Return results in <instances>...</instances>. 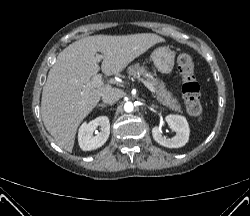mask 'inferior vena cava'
<instances>
[{"label":"inferior vena cava","instance_id":"1","mask_svg":"<svg viewBox=\"0 0 250 216\" xmlns=\"http://www.w3.org/2000/svg\"><path fill=\"white\" fill-rule=\"evenodd\" d=\"M123 91L118 88H109L102 94L104 103L111 104L123 97Z\"/></svg>","mask_w":250,"mask_h":216}]
</instances>
